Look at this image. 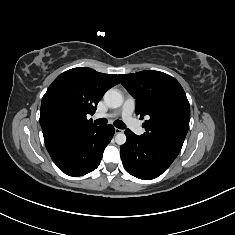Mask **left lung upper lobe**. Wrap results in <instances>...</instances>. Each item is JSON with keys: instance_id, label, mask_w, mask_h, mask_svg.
I'll use <instances>...</instances> for the list:
<instances>
[{"instance_id": "obj_1", "label": "left lung upper lobe", "mask_w": 235, "mask_h": 235, "mask_svg": "<svg viewBox=\"0 0 235 235\" xmlns=\"http://www.w3.org/2000/svg\"><path fill=\"white\" fill-rule=\"evenodd\" d=\"M121 84L136 99V114L148 115L145 138L181 150L189 129L190 105L179 82L159 71L119 75Z\"/></svg>"}]
</instances>
